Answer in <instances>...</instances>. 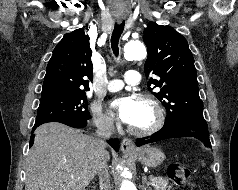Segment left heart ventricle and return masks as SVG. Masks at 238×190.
I'll list each match as a JSON object with an SVG mask.
<instances>
[{"label":"left heart ventricle","mask_w":238,"mask_h":190,"mask_svg":"<svg viewBox=\"0 0 238 190\" xmlns=\"http://www.w3.org/2000/svg\"><path fill=\"white\" fill-rule=\"evenodd\" d=\"M153 119L152 109L147 104L138 101L136 115L130 125L137 128H145L153 122Z\"/></svg>","instance_id":"obj_1"}]
</instances>
